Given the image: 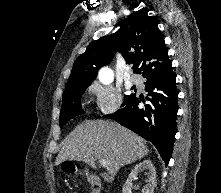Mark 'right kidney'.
Wrapping results in <instances>:
<instances>
[{"mask_svg": "<svg viewBox=\"0 0 221 193\" xmlns=\"http://www.w3.org/2000/svg\"><path fill=\"white\" fill-rule=\"evenodd\" d=\"M148 171V180L146 181V185L142 189V193H153L154 188L156 187V170L154 165L150 160H143L139 164H137L123 186L122 193H132L131 192V182L133 179L137 177V174L142 171Z\"/></svg>", "mask_w": 221, "mask_h": 193, "instance_id": "obj_1", "label": "right kidney"}]
</instances>
